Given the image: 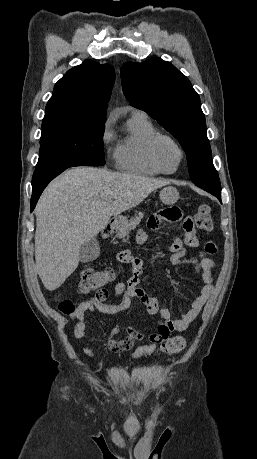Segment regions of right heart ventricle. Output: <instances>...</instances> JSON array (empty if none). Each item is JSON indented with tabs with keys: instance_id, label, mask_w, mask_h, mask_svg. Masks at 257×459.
<instances>
[{
	"instance_id": "1",
	"label": "right heart ventricle",
	"mask_w": 257,
	"mask_h": 459,
	"mask_svg": "<svg viewBox=\"0 0 257 459\" xmlns=\"http://www.w3.org/2000/svg\"><path fill=\"white\" fill-rule=\"evenodd\" d=\"M158 133L156 127L143 113H132L127 121L126 134L114 150V160L119 170L142 176L160 174L150 162L147 147Z\"/></svg>"
}]
</instances>
